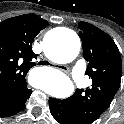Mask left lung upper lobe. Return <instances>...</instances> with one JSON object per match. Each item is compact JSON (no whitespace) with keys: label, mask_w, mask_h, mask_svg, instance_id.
Instances as JSON below:
<instances>
[{"label":"left lung upper lobe","mask_w":124,"mask_h":124,"mask_svg":"<svg viewBox=\"0 0 124 124\" xmlns=\"http://www.w3.org/2000/svg\"><path fill=\"white\" fill-rule=\"evenodd\" d=\"M83 55L88 61L86 73L92 85L76 90L70 97L74 114L81 124H91L110 106L120 87L122 62L113 39L96 26L79 23Z\"/></svg>","instance_id":"1"}]
</instances>
